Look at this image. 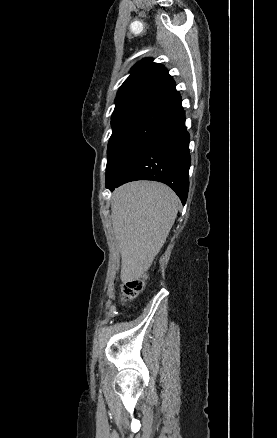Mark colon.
<instances>
[{"label":"colon","instance_id":"colon-1","mask_svg":"<svg viewBox=\"0 0 277 438\" xmlns=\"http://www.w3.org/2000/svg\"><path fill=\"white\" fill-rule=\"evenodd\" d=\"M144 289L143 282L139 279L128 281L123 287L124 301L137 297Z\"/></svg>","mask_w":277,"mask_h":438}]
</instances>
